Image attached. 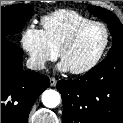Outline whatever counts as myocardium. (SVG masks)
Here are the masks:
<instances>
[{
    "label": "myocardium",
    "mask_w": 123,
    "mask_h": 123,
    "mask_svg": "<svg viewBox=\"0 0 123 123\" xmlns=\"http://www.w3.org/2000/svg\"><path fill=\"white\" fill-rule=\"evenodd\" d=\"M92 26H100L104 30V33H105L104 44H103L101 50L99 51V53L97 54V56L88 65H86L82 68H79V69H70L69 71L72 74L81 75V74H85V73L91 71L92 69H94L99 64V62L102 60V58L104 57V55L108 49V46L110 43V31H109L108 27L103 22L90 21V22L83 24L80 27H78L71 34V36L65 41V43L61 46V48L58 52L60 59L63 61L65 53L74 46V44L77 42L80 35L85 30H87L88 28H90Z\"/></svg>",
    "instance_id": "1"
}]
</instances>
